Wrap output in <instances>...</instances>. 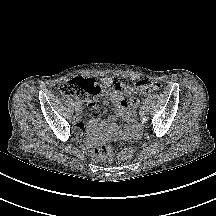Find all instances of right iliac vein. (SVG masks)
Returning a JSON list of instances; mask_svg holds the SVG:
<instances>
[{
    "label": "right iliac vein",
    "mask_w": 216,
    "mask_h": 216,
    "mask_svg": "<svg viewBox=\"0 0 216 216\" xmlns=\"http://www.w3.org/2000/svg\"><path fill=\"white\" fill-rule=\"evenodd\" d=\"M75 111L77 114H80L82 112V107L81 106H76Z\"/></svg>",
    "instance_id": "1"
}]
</instances>
